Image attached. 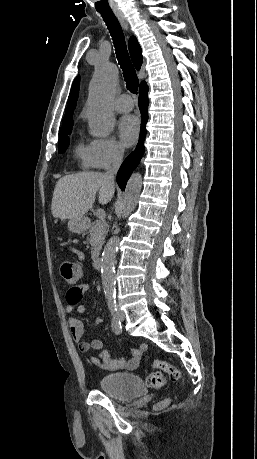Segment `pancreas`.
<instances>
[{"instance_id": "1", "label": "pancreas", "mask_w": 257, "mask_h": 459, "mask_svg": "<svg viewBox=\"0 0 257 459\" xmlns=\"http://www.w3.org/2000/svg\"><path fill=\"white\" fill-rule=\"evenodd\" d=\"M108 229H109L108 223L102 220L96 221L95 224H93L90 227L89 243L92 247V251H91L92 257H96L99 254L103 246L105 236L108 233Z\"/></svg>"}]
</instances>
